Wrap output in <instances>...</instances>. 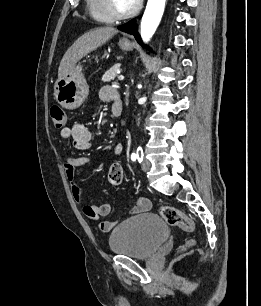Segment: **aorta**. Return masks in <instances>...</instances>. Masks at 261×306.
Wrapping results in <instances>:
<instances>
[{
	"label": "aorta",
	"mask_w": 261,
	"mask_h": 306,
	"mask_svg": "<svg viewBox=\"0 0 261 306\" xmlns=\"http://www.w3.org/2000/svg\"><path fill=\"white\" fill-rule=\"evenodd\" d=\"M166 0H148L141 20V37L148 42L154 35L164 12Z\"/></svg>",
	"instance_id": "aorta-1"
}]
</instances>
